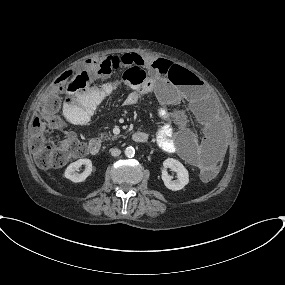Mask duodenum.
Returning <instances> with one entry per match:
<instances>
[{
  "instance_id": "410a0bca",
  "label": "duodenum",
  "mask_w": 285,
  "mask_h": 285,
  "mask_svg": "<svg viewBox=\"0 0 285 285\" xmlns=\"http://www.w3.org/2000/svg\"><path fill=\"white\" fill-rule=\"evenodd\" d=\"M76 106L78 108H84V105L81 104V103H77ZM132 139L133 141L135 142H138V143H143V142H146L147 139H148V136L145 132L143 131H138V132H135L133 135H132ZM88 151L90 153V155L92 156H96L100 153L101 151V143L99 140L97 139H91L88 143Z\"/></svg>"
}]
</instances>
